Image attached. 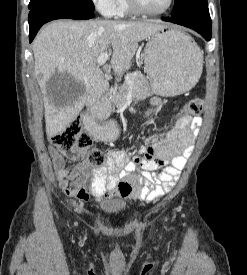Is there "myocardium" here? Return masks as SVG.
Returning <instances> with one entry per match:
<instances>
[{"label":"myocardium","instance_id":"f54148a6","mask_svg":"<svg viewBox=\"0 0 247 275\" xmlns=\"http://www.w3.org/2000/svg\"><path fill=\"white\" fill-rule=\"evenodd\" d=\"M174 1L175 0H169L167 6L158 11L148 10L143 6L141 0H128V3L130 5L131 10L137 14L145 16H158L168 12L172 8Z\"/></svg>","mask_w":247,"mask_h":275}]
</instances>
